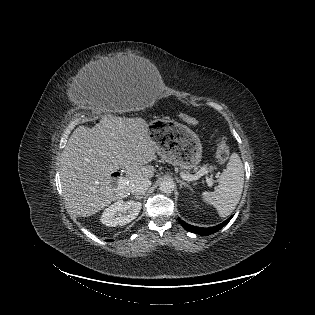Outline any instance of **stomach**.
<instances>
[{
	"label": "stomach",
	"instance_id": "0dacf381",
	"mask_svg": "<svg viewBox=\"0 0 315 315\" xmlns=\"http://www.w3.org/2000/svg\"><path fill=\"white\" fill-rule=\"evenodd\" d=\"M147 129L162 159L184 170L197 168L202 158V144L190 128L166 118L149 122Z\"/></svg>",
	"mask_w": 315,
	"mask_h": 315
}]
</instances>
